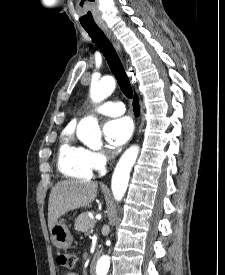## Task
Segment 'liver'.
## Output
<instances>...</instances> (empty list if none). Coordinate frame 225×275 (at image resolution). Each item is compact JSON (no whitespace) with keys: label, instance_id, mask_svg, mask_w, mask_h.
I'll return each mask as SVG.
<instances>
[{"label":"liver","instance_id":"6515ba94","mask_svg":"<svg viewBox=\"0 0 225 275\" xmlns=\"http://www.w3.org/2000/svg\"><path fill=\"white\" fill-rule=\"evenodd\" d=\"M98 184L87 180H64L51 190L48 203V227L71 210L89 205L97 196Z\"/></svg>","mask_w":225,"mask_h":275}]
</instances>
